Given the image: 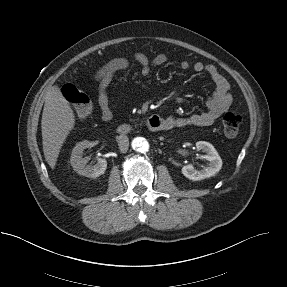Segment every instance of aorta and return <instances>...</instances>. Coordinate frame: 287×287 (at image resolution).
I'll return each mask as SVG.
<instances>
[{
    "label": "aorta",
    "mask_w": 287,
    "mask_h": 287,
    "mask_svg": "<svg viewBox=\"0 0 287 287\" xmlns=\"http://www.w3.org/2000/svg\"><path fill=\"white\" fill-rule=\"evenodd\" d=\"M132 148L140 153H145L149 150V143L143 137H136L132 140L131 143Z\"/></svg>",
    "instance_id": "aorta-1"
}]
</instances>
